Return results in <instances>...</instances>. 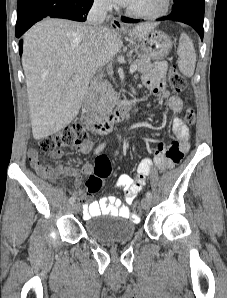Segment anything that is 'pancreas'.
Here are the masks:
<instances>
[{
	"instance_id": "1",
	"label": "pancreas",
	"mask_w": 227,
	"mask_h": 298,
	"mask_svg": "<svg viewBox=\"0 0 227 298\" xmlns=\"http://www.w3.org/2000/svg\"><path fill=\"white\" fill-rule=\"evenodd\" d=\"M133 64L136 65V70L140 73H144L152 67L150 58L147 55H138ZM118 101L119 94L114 91L112 85L107 81L102 82L96 93L95 111L99 114L109 113Z\"/></svg>"
}]
</instances>
